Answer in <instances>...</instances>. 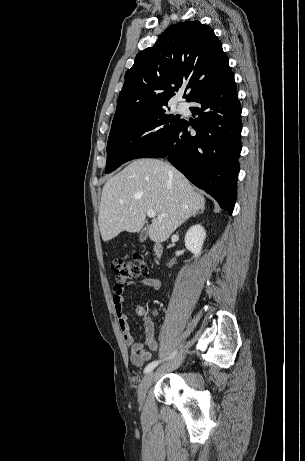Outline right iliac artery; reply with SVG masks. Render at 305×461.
<instances>
[{"mask_svg":"<svg viewBox=\"0 0 305 461\" xmlns=\"http://www.w3.org/2000/svg\"><path fill=\"white\" fill-rule=\"evenodd\" d=\"M175 353H173L172 356H174ZM171 358V357H170ZM159 361H152L150 362L144 369V373H149L150 371H152L157 365H158Z\"/></svg>","mask_w":305,"mask_h":461,"instance_id":"82829eb1","label":"right iliac artery"}]
</instances>
